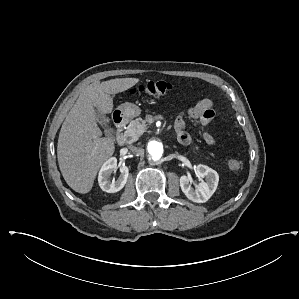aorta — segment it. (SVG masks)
<instances>
[{
    "label": "aorta",
    "instance_id": "762f6f07",
    "mask_svg": "<svg viewBox=\"0 0 299 299\" xmlns=\"http://www.w3.org/2000/svg\"><path fill=\"white\" fill-rule=\"evenodd\" d=\"M146 153L150 161H160L165 153V147L159 139H150L146 144Z\"/></svg>",
    "mask_w": 299,
    "mask_h": 299
}]
</instances>
